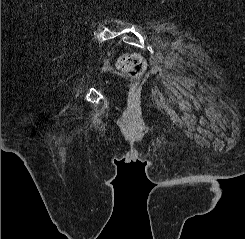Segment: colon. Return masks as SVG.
<instances>
[{
	"label": "colon",
	"instance_id": "5ec220e1",
	"mask_svg": "<svg viewBox=\"0 0 245 239\" xmlns=\"http://www.w3.org/2000/svg\"><path fill=\"white\" fill-rule=\"evenodd\" d=\"M118 69L132 79H139L146 68L144 58L136 53H126L117 62Z\"/></svg>",
	"mask_w": 245,
	"mask_h": 239
}]
</instances>
